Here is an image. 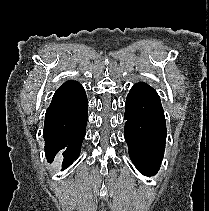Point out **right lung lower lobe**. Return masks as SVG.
I'll use <instances>...</instances> for the list:
<instances>
[{"label": "right lung lower lobe", "mask_w": 209, "mask_h": 211, "mask_svg": "<svg viewBox=\"0 0 209 211\" xmlns=\"http://www.w3.org/2000/svg\"><path fill=\"white\" fill-rule=\"evenodd\" d=\"M87 108L85 90L77 81H67L55 92L45 114L43 130L49 163L62 157V168L66 169L78 158L86 133Z\"/></svg>", "instance_id": "obj_1"}]
</instances>
